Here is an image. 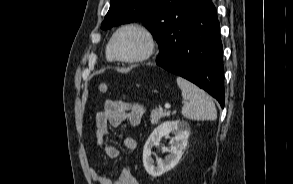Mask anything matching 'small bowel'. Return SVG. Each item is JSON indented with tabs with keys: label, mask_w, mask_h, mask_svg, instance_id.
Listing matches in <instances>:
<instances>
[{
	"label": "small bowel",
	"mask_w": 293,
	"mask_h": 184,
	"mask_svg": "<svg viewBox=\"0 0 293 184\" xmlns=\"http://www.w3.org/2000/svg\"><path fill=\"white\" fill-rule=\"evenodd\" d=\"M144 115V108L138 103H127L109 99L105 102L104 110L97 113L95 118V140L107 157L114 159L118 157L119 150L108 143L111 128L119 127L123 122L128 121L131 126H138ZM123 145L127 150L133 151L137 142L133 137L126 136ZM92 180L98 184H139L137 178L128 168H123L116 179H111L101 173L98 169L90 168Z\"/></svg>",
	"instance_id": "obj_1"
}]
</instances>
